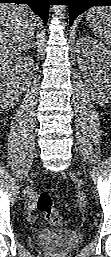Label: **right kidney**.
Returning <instances> with one entry per match:
<instances>
[{
  "instance_id": "1",
  "label": "right kidney",
  "mask_w": 111,
  "mask_h": 257,
  "mask_svg": "<svg viewBox=\"0 0 111 257\" xmlns=\"http://www.w3.org/2000/svg\"><path fill=\"white\" fill-rule=\"evenodd\" d=\"M34 61L30 57L19 56L1 70L2 107H11L33 78Z\"/></svg>"
}]
</instances>
